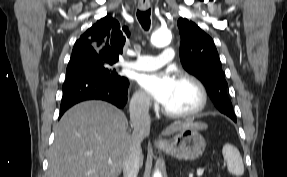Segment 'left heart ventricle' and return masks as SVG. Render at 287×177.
<instances>
[{"label": "left heart ventricle", "mask_w": 287, "mask_h": 177, "mask_svg": "<svg viewBox=\"0 0 287 177\" xmlns=\"http://www.w3.org/2000/svg\"><path fill=\"white\" fill-rule=\"evenodd\" d=\"M198 102L194 86L177 80L163 107L172 112H187L196 108Z\"/></svg>", "instance_id": "1"}]
</instances>
